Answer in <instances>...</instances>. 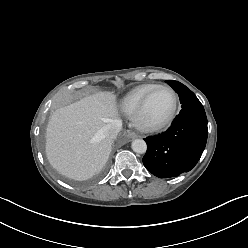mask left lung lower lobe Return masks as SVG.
<instances>
[{"mask_svg": "<svg viewBox=\"0 0 248 248\" xmlns=\"http://www.w3.org/2000/svg\"><path fill=\"white\" fill-rule=\"evenodd\" d=\"M208 135L205 110L199 100L182 107L164 133L145 138L147 151L143 164L160 178L190 171L200 159Z\"/></svg>", "mask_w": 248, "mask_h": 248, "instance_id": "obj_1", "label": "left lung lower lobe"}]
</instances>
